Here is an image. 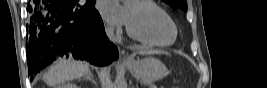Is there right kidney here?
Listing matches in <instances>:
<instances>
[{
  "label": "right kidney",
  "mask_w": 267,
  "mask_h": 88,
  "mask_svg": "<svg viewBox=\"0 0 267 88\" xmlns=\"http://www.w3.org/2000/svg\"><path fill=\"white\" fill-rule=\"evenodd\" d=\"M57 88H79V86H77L75 83L68 82L57 86Z\"/></svg>",
  "instance_id": "obj_1"
}]
</instances>
